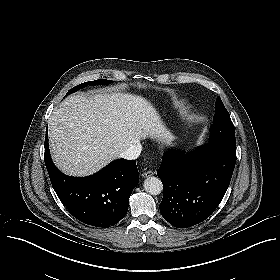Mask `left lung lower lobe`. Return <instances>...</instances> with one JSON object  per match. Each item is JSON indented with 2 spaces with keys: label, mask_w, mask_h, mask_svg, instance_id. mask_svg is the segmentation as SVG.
<instances>
[{
  "label": "left lung lower lobe",
  "mask_w": 280,
  "mask_h": 280,
  "mask_svg": "<svg viewBox=\"0 0 280 280\" xmlns=\"http://www.w3.org/2000/svg\"><path fill=\"white\" fill-rule=\"evenodd\" d=\"M236 146L210 142L191 153L169 150L157 171L163 183V218L177 228H188L208 218L230 184Z\"/></svg>",
  "instance_id": "1"
}]
</instances>
